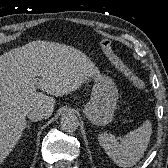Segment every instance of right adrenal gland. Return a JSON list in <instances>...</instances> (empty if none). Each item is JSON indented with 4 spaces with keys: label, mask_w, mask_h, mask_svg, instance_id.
<instances>
[{
    "label": "right adrenal gland",
    "mask_w": 168,
    "mask_h": 168,
    "mask_svg": "<svg viewBox=\"0 0 168 168\" xmlns=\"http://www.w3.org/2000/svg\"><path fill=\"white\" fill-rule=\"evenodd\" d=\"M30 126H31V125H30V124H28V125H27V128H30Z\"/></svg>",
    "instance_id": "1"
}]
</instances>
